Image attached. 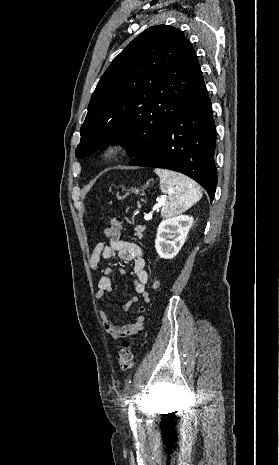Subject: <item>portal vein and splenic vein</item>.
<instances>
[{
  "label": "portal vein and splenic vein",
  "instance_id": "1",
  "mask_svg": "<svg viewBox=\"0 0 279 465\" xmlns=\"http://www.w3.org/2000/svg\"><path fill=\"white\" fill-rule=\"evenodd\" d=\"M165 201V198L164 197H161L159 200H158V205L157 206H161ZM144 219L146 221H149L152 219V213H149V214H145L144 215Z\"/></svg>",
  "mask_w": 279,
  "mask_h": 465
}]
</instances>
